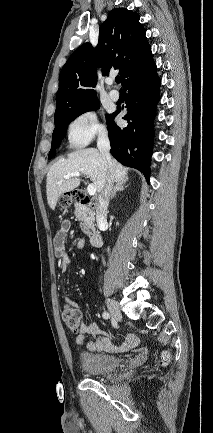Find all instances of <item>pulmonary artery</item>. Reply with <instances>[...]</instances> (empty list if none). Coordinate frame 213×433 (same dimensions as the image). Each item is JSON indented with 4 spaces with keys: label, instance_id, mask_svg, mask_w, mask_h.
<instances>
[{
    "label": "pulmonary artery",
    "instance_id": "obj_1",
    "mask_svg": "<svg viewBox=\"0 0 213 433\" xmlns=\"http://www.w3.org/2000/svg\"><path fill=\"white\" fill-rule=\"evenodd\" d=\"M112 83H113V81L111 80L109 82V84L112 85ZM109 97H110L111 100L117 101L119 99V92L117 90H115V89H112V90L109 91Z\"/></svg>",
    "mask_w": 213,
    "mask_h": 433
}]
</instances>
